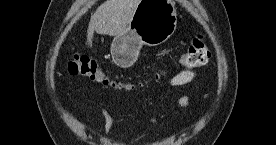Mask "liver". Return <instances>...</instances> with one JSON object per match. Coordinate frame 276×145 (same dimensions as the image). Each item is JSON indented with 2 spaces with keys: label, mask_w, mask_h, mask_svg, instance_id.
Returning <instances> with one entry per match:
<instances>
[{
  "label": "liver",
  "mask_w": 276,
  "mask_h": 145,
  "mask_svg": "<svg viewBox=\"0 0 276 145\" xmlns=\"http://www.w3.org/2000/svg\"><path fill=\"white\" fill-rule=\"evenodd\" d=\"M140 0H106L91 16L87 30V43L92 46L94 32L116 36L123 33Z\"/></svg>",
  "instance_id": "liver-1"
}]
</instances>
